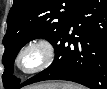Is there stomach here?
<instances>
[{
	"instance_id": "obj_1",
	"label": "stomach",
	"mask_w": 107,
	"mask_h": 89,
	"mask_svg": "<svg viewBox=\"0 0 107 89\" xmlns=\"http://www.w3.org/2000/svg\"><path fill=\"white\" fill-rule=\"evenodd\" d=\"M30 89H36V88H30ZM60 89H62V88H60Z\"/></svg>"
}]
</instances>
